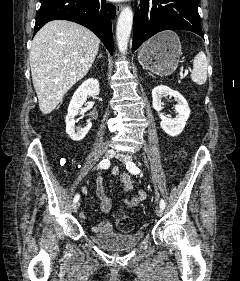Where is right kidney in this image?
<instances>
[{
  "instance_id": "right-kidney-1",
  "label": "right kidney",
  "mask_w": 240,
  "mask_h": 281,
  "mask_svg": "<svg viewBox=\"0 0 240 281\" xmlns=\"http://www.w3.org/2000/svg\"><path fill=\"white\" fill-rule=\"evenodd\" d=\"M100 88L99 82L96 79H87L84 81L79 88L75 91L69 107L68 114L66 116V132L69 137L74 141L82 140L89 132L92 124L89 122L85 127H75V117L78 114L79 109L86 101L89 95H99Z\"/></svg>"
}]
</instances>
